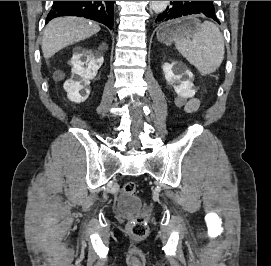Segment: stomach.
Listing matches in <instances>:
<instances>
[{
  "label": "stomach",
  "instance_id": "stomach-1",
  "mask_svg": "<svg viewBox=\"0 0 271 266\" xmlns=\"http://www.w3.org/2000/svg\"><path fill=\"white\" fill-rule=\"evenodd\" d=\"M199 22L193 18L177 20L161 26L157 31V39L166 45L171 44L177 38L193 33Z\"/></svg>",
  "mask_w": 271,
  "mask_h": 266
}]
</instances>
